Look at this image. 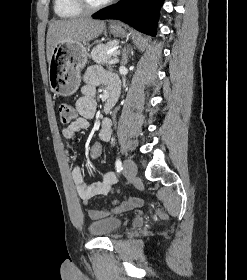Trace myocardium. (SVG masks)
I'll use <instances>...</instances> for the list:
<instances>
[{"label": "myocardium", "mask_w": 247, "mask_h": 280, "mask_svg": "<svg viewBox=\"0 0 247 280\" xmlns=\"http://www.w3.org/2000/svg\"><path fill=\"white\" fill-rule=\"evenodd\" d=\"M113 0H105L100 3H92L89 0H75L76 4L84 11L94 12L108 6Z\"/></svg>", "instance_id": "obj_1"}]
</instances>
